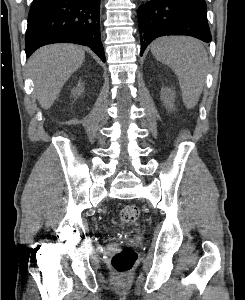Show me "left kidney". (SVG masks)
I'll return each mask as SVG.
<instances>
[{
  "label": "left kidney",
  "instance_id": "1",
  "mask_svg": "<svg viewBox=\"0 0 245 300\" xmlns=\"http://www.w3.org/2000/svg\"><path fill=\"white\" fill-rule=\"evenodd\" d=\"M162 99L164 100L166 106L170 105L173 101V92L171 90H166L162 93Z\"/></svg>",
  "mask_w": 245,
  "mask_h": 300
}]
</instances>
